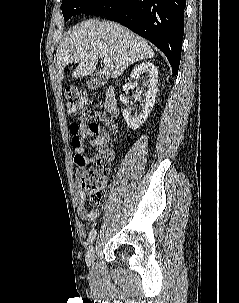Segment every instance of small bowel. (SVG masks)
Listing matches in <instances>:
<instances>
[{"mask_svg":"<svg viewBox=\"0 0 239 303\" xmlns=\"http://www.w3.org/2000/svg\"><path fill=\"white\" fill-rule=\"evenodd\" d=\"M71 145L75 151L76 177L80 180L82 174L86 172V167L90 163L100 160L112 162L114 151L109 146V135L107 131L95 122L92 123H72L70 125ZM90 146L95 150L92 157L85 156L86 148ZM76 206L79 217L93 224L98 216V210L89 209L84 200L81 190L76 191Z\"/></svg>","mask_w":239,"mask_h":303,"instance_id":"obj_1","label":"small bowel"}]
</instances>
